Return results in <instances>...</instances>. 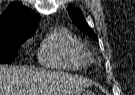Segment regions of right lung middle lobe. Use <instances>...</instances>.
<instances>
[{"label": "right lung middle lobe", "mask_w": 135, "mask_h": 95, "mask_svg": "<svg viewBox=\"0 0 135 95\" xmlns=\"http://www.w3.org/2000/svg\"><path fill=\"white\" fill-rule=\"evenodd\" d=\"M33 34L20 31L0 35V64L11 62L17 56L20 44Z\"/></svg>", "instance_id": "dd1d6c3e"}]
</instances>
